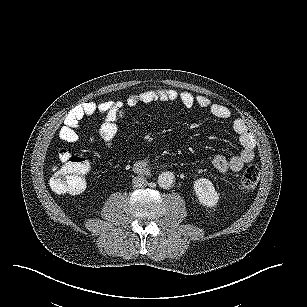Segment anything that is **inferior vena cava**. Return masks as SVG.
Masks as SVG:
<instances>
[{"mask_svg": "<svg viewBox=\"0 0 307 307\" xmlns=\"http://www.w3.org/2000/svg\"><path fill=\"white\" fill-rule=\"evenodd\" d=\"M148 184L147 179L142 175H137L132 179V185L135 188H143Z\"/></svg>", "mask_w": 307, "mask_h": 307, "instance_id": "obj_1", "label": "inferior vena cava"}]
</instances>
